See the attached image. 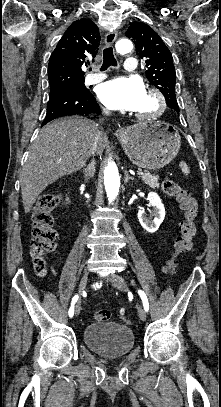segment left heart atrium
I'll return each mask as SVG.
<instances>
[{"mask_svg":"<svg viewBox=\"0 0 221 407\" xmlns=\"http://www.w3.org/2000/svg\"><path fill=\"white\" fill-rule=\"evenodd\" d=\"M98 94L101 102L111 109L138 110L146 89L139 78L121 76L103 83Z\"/></svg>","mask_w":221,"mask_h":407,"instance_id":"obj_1","label":"left heart atrium"}]
</instances>
